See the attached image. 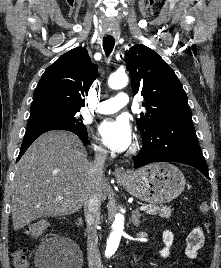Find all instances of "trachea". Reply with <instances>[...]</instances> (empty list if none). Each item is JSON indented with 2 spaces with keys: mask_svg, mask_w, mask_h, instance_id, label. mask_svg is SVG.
I'll list each match as a JSON object with an SVG mask.
<instances>
[{
  "mask_svg": "<svg viewBox=\"0 0 221 268\" xmlns=\"http://www.w3.org/2000/svg\"><path fill=\"white\" fill-rule=\"evenodd\" d=\"M115 39L112 37L103 38V49L107 56H109L114 48Z\"/></svg>",
  "mask_w": 221,
  "mask_h": 268,
  "instance_id": "3493384b",
  "label": "trachea"
}]
</instances>
